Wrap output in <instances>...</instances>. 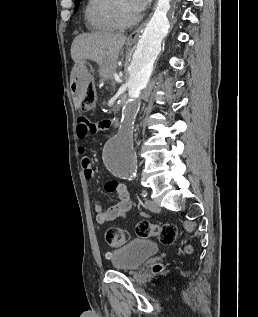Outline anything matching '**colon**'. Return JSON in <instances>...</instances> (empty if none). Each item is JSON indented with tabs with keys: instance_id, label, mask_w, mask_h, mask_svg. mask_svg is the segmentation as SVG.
I'll use <instances>...</instances> for the list:
<instances>
[{
	"instance_id": "5ec220e1",
	"label": "colon",
	"mask_w": 258,
	"mask_h": 317,
	"mask_svg": "<svg viewBox=\"0 0 258 317\" xmlns=\"http://www.w3.org/2000/svg\"><path fill=\"white\" fill-rule=\"evenodd\" d=\"M96 103L95 84L90 81L81 89V106L86 110L94 108ZM135 233L141 238L157 237L164 245H171L177 238V228L174 224L167 223L163 225L152 224L147 221L139 222L135 227ZM129 233L120 228H110L106 232L105 240L112 247L122 246L129 240ZM191 248L187 247V251ZM160 266L155 267L159 271Z\"/></svg>"
}]
</instances>
